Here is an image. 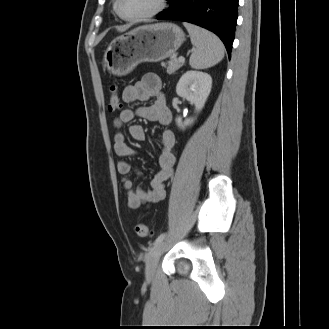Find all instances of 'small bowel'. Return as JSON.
I'll return each mask as SVG.
<instances>
[{
  "label": "small bowel",
  "instance_id": "small-bowel-1",
  "mask_svg": "<svg viewBox=\"0 0 329 329\" xmlns=\"http://www.w3.org/2000/svg\"><path fill=\"white\" fill-rule=\"evenodd\" d=\"M122 99L126 103L153 100L152 104L136 110H122L112 122L115 131L114 151L117 155L124 157L117 161L116 168L122 176V184L127 191L128 205L130 208L136 209L144 203H156L164 199V184L171 176L176 161L175 135L168 129L161 133V149L158 157L159 171L152 179L150 188L134 186L132 174L137 173V171L125 158L134 156L136 152L125 142L124 126L136 116L166 126L171 122L172 114L162 93L161 79L154 73H148L142 80L126 86L122 93ZM128 133L133 140L138 142L144 141L146 138L144 128L138 124L129 125Z\"/></svg>",
  "mask_w": 329,
  "mask_h": 329
}]
</instances>
